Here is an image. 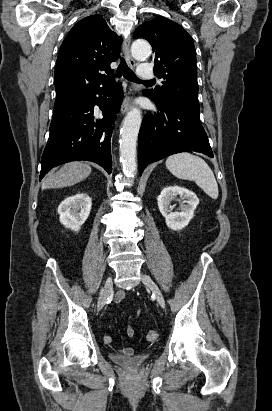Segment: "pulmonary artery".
<instances>
[{"label":"pulmonary artery","mask_w":272,"mask_h":411,"mask_svg":"<svg viewBox=\"0 0 272 411\" xmlns=\"http://www.w3.org/2000/svg\"><path fill=\"white\" fill-rule=\"evenodd\" d=\"M138 75L142 79H152L154 77V72L151 65L148 63H141Z\"/></svg>","instance_id":"1"}]
</instances>
